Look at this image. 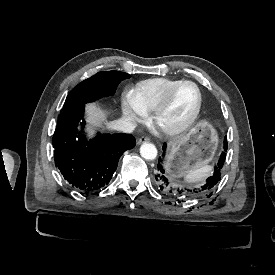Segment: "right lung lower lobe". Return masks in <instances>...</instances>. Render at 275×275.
Here are the masks:
<instances>
[{"mask_svg":"<svg viewBox=\"0 0 275 275\" xmlns=\"http://www.w3.org/2000/svg\"><path fill=\"white\" fill-rule=\"evenodd\" d=\"M84 108L85 105L63 107L53 147L55 164L64 179L78 191L89 193L109 183L121 155L134 148L135 138L131 134H99L88 141L82 134Z\"/></svg>","mask_w":275,"mask_h":275,"instance_id":"98d812e1","label":"right lung lower lobe"}]
</instances>
